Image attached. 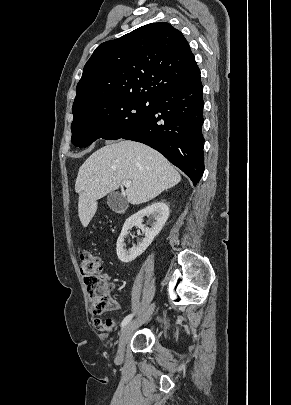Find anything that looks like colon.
Listing matches in <instances>:
<instances>
[{"mask_svg":"<svg viewBox=\"0 0 291 405\" xmlns=\"http://www.w3.org/2000/svg\"><path fill=\"white\" fill-rule=\"evenodd\" d=\"M80 271L91 301L92 311L100 315L111 308V285L103 274L102 259L89 250L79 255Z\"/></svg>","mask_w":291,"mask_h":405,"instance_id":"colon-1","label":"colon"}]
</instances>
